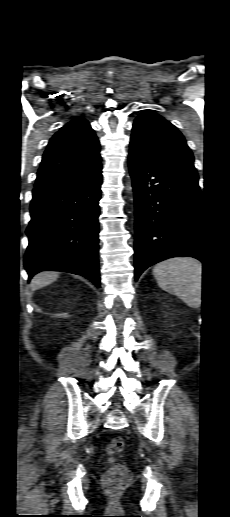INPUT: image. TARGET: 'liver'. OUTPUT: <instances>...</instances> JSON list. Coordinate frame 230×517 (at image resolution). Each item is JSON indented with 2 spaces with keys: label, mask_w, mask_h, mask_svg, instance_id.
Wrapping results in <instances>:
<instances>
[{
  "label": "liver",
  "mask_w": 230,
  "mask_h": 517,
  "mask_svg": "<svg viewBox=\"0 0 230 517\" xmlns=\"http://www.w3.org/2000/svg\"><path fill=\"white\" fill-rule=\"evenodd\" d=\"M58 277H59L58 272L43 271L33 277V279L31 280V287L34 290L45 287V286L53 283L54 281H56Z\"/></svg>",
  "instance_id": "6515ba94"
}]
</instances>
